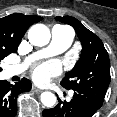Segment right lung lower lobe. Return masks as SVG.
I'll list each match as a JSON object with an SVG mask.
<instances>
[{
    "label": "right lung lower lobe",
    "mask_w": 117,
    "mask_h": 117,
    "mask_svg": "<svg viewBox=\"0 0 117 117\" xmlns=\"http://www.w3.org/2000/svg\"><path fill=\"white\" fill-rule=\"evenodd\" d=\"M31 83L26 78L14 85L0 81V117H15L17 113V96L31 90Z\"/></svg>",
    "instance_id": "1"
}]
</instances>
